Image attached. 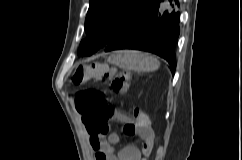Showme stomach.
I'll use <instances>...</instances> for the list:
<instances>
[{
	"label": "stomach",
	"instance_id": "1",
	"mask_svg": "<svg viewBox=\"0 0 242 160\" xmlns=\"http://www.w3.org/2000/svg\"><path fill=\"white\" fill-rule=\"evenodd\" d=\"M108 62L126 71H150L159 65L155 58L133 50L116 51L108 58Z\"/></svg>",
	"mask_w": 242,
	"mask_h": 160
}]
</instances>
